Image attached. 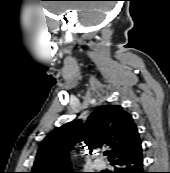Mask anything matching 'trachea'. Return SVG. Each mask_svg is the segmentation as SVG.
<instances>
[{"instance_id": "3493384b", "label": "trachea", "mask_w": 170, "mask_h": 173, "mask_svg": "<svg viewBox=\"0 0 170 173\" xmlns=\"http://www.w3.org/2000/svg\"><path fill=\"white\" fill-rule=\"evenodd\" d=\"M108 154H109V152H105V153H104V155H108Z\"/></svg>"}]
</instances>
